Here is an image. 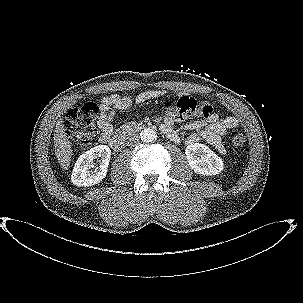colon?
I'll return each instance as SVG.
<instances>
[{"instance_id":"5ec220e1","label":"colon","mask_w":303,"mask_h":303,"mask_svg":"<svg viewBox=\"0 0 303 303\" xmlns=\"http://www.w3.org/2000/svg\"><path fill=\"white\" fill-rule=\"evenodd\" d=\"M166 106L171 114L181 119L201 115V103L190 96L168 100ZM98 112L99 108L94 102H88L80 108L74 107L67 112L64 119L65 129L79 147H87L90 144ZM228 141L232 150L239 152L244 147L245 135L239 130H231L228 133Z\"/></svg>"}]
</instances>
